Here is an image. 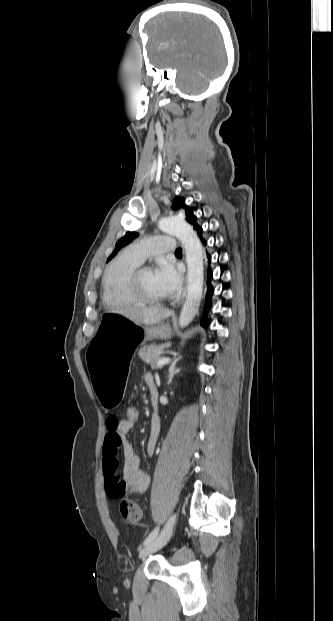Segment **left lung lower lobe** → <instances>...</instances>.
Returning a JSON list of instances; mask_svg holds the SVG:
<instances>
[{"label":"left lung lower lobe","mask_w":333,"mask_h":621,"mask_svg":"<svg viewBox=\"0 0 333 621\" xmlns=\"http://www.w3.org/2000/svg\"><path fill=\"white\" fill-rule=\"evenodd\" d=\"M197 231L198 236L200 237L201 241L203 242L204 245H206V240L203 238L202 233H203V229L201 227H197L195 229ZM207 257L208 259H211V256L207 253ZM212 270L210 268V261H209V265H208V270H207V295H206V303H205V308L203 311V316H202V320H201V324L205 327H207L208 325V319H207V312L208 310H210L211 308V296L213 294V287L211 285V280H212Z\"/></svg>","instance_id":"1"}]
</instances>
